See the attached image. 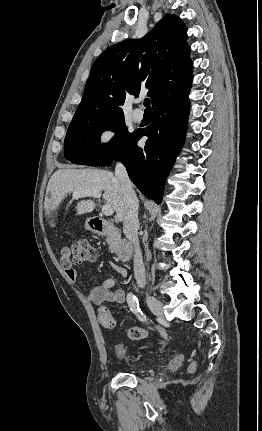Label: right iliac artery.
Returning <instances> with one entry per match:
<instances>
[{"instance_id": "right-iliac-artery-1", "label": "right iliac artery", "mask_w": 262, "mask_h": 431, "mask_svg": "<svg viewBox=\"0 0 262 431\" xmlns=\"http://www.w3.org/2000/svg\"><path fill=\"white\" fill-rule=\"evenodd\" d=\"M127 303L130 307V310L138 316L139 320L146 321V316H144L140 310L138 299L134 294L129 293L127 295Z\"/></svg>"}]
</instances>
